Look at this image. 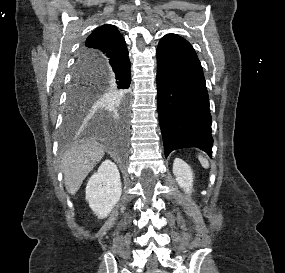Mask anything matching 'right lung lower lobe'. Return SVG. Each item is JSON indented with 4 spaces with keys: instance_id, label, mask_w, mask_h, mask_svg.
Here are the masks:
<instances>
[{
    "instance_id": "obj_1",
    "label": "right lung lower lobe",
    "mask_w": 285,
    "mask_h": 273,
    "mask_svg": "<svg viewBox=\"0 0 285 273\" xmlns=\"http://www.w3.org/2000/svg\"><path fill=\"white\" fill-rule=\"evenodd\" d=\"M90 71L101 76L103 83L109 84L115 90L125 91L131 83L130 60L128 53L123 57L99 60L91 64ZM121 126L125 128L126 120L123 114Z\"/></svg>"
}]
</instances>
